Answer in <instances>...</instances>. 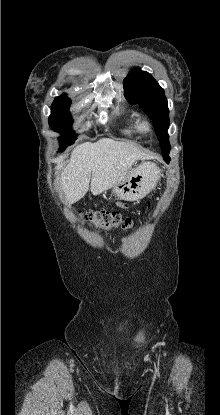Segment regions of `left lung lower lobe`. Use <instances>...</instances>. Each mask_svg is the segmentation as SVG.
Returning <instances> with one entry per match:
<instances>
[{"instance_id": "obj_1", "label": "left lung lower lobe", "mask_w": 220, "mask_h": 415, "mask_svg": "<svg viewBox=\"0 0 220 415\" xmlns=\"http://www.w3.org/2000/svg\"><path fill=\"white\" fill-rule=\"evenodd\" d=\"M163 159L166 163H169L170 157L169 156H163Z\"/></svg>"}]
</instances>
